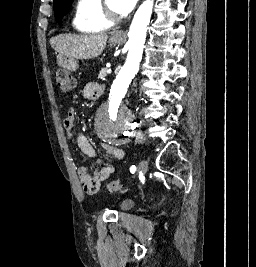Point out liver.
<instances>
[{
    "label": "liver",
    "instance_id": "6515ba94",
    "mask_svg": "<svg viewBox=\"0 0 256 267\" xmlns=\"http://www.w3.org/2000/svg\"><path fill=\"white\" fill-rule=\"evenodd\" d=\"M118 34L120 32H113V36ZM107 40V34H59L51 38L50 44L53 50L68 60H91L102 54Z\"/></svg>",
    "mask_w": 256,
    "mask_h": 267
}]
</instances>
